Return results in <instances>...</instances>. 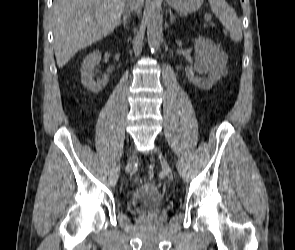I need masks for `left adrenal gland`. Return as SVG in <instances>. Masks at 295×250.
<instances>
[{
  "instance_id": "left-adrenal-gland-1",
  "label": "left adrenal gland",
  "mask_w": 295,
  "mask_h": 250,
  "mask_svg": "<svg viewBox=\"0 0 295 250\" xmlns=\"http://www.w3.org/2000/svg\"><path fill=\"white\" fill-rule=\"evenodd\" d=\"M175 18H176V16H174L173 13L170 10V22H171V24L174 22Z\"/></svg>"
}]
</instances>
